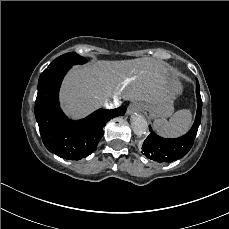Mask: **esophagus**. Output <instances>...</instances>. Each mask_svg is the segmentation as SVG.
Here are the masks:
<instances>
[{
	"label": "esophagus",
	"instance_id": "obj_1",
	"mask_svg": "<svg viewBox=\"0 0 229 229\" xmlns=\"http://www.w3.org/2000/svg\"><path fill=\"white\" fill-rule=\"evenodd\" d=\"M137 109H138V103L137 102L131 103L127 108V115L129 116L134 115Z\"/></svg>",
	"mask_w": 229,
	"mask_h": 229
}]
</instances>
